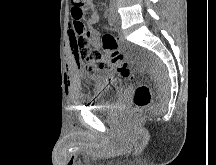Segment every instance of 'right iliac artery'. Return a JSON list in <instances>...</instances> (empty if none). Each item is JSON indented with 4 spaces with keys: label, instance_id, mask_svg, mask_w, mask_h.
Returning <instances> with one entry per match:
<instances>
[{
    "label": "right iliac artery",
    "instance_id": "obj_1",
    "mask_svg": "<svg viewBox=\"0 0 216 165\" xmlns=\"http://www.w3.org/2000/svg\"><path fill=\"white\" fill-rule=\"evenodd\" d=\"M108 22H109L110 26L114 25V23H115L114 14H112V13L109 14V16H108Z\"/></svg>",
    "mask_w": 216,
    "mask_h": 165
}]
</instances>
